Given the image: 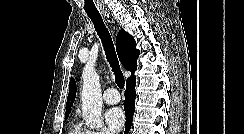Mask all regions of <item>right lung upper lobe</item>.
Here are the masks:
<instances>
[{"instance_id": "1", "label": "right lung upper lobe", "mask_w": 244, "mask_h": 134, "mask_svg": "<svg viewBox=\"0 0 244 134\" xmlns=\"http://www.w3.org/2000/svg\"><path fill=\"white\" fill-rule=\"evenodd\" d=\"M116 50L121 64L131 72V77H134V72L137 69L136 61L139 56V50L136 49L134 38L129 33L125 32V30H120L117 34ZM75 96L76 83L75 80L71 78L65 114H70Z\"/></svg>"}]
</instances>
